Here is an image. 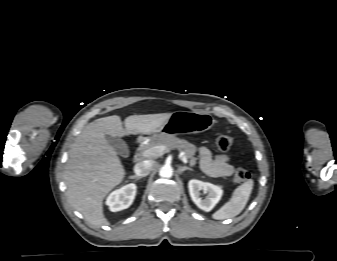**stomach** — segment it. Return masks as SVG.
I'll return each mask as SVG.
<instances>
[{
	"instance_id": "0dacf381",
	"label": "stomach",
	"mask_w": 337,
	"mask_h": 261,
	"mask_svg": "<svg viewBox=\"0 0 337 261\" xmlns=\"http://www.w3.org/2000/svg\"><path fill=\"white\" fill-rule=\"evenodd\" d=\"M214 125L213 117L208 113L195 111H176L170 118L146 138L188 135L205 132Z\"/></svg>"
}]
</instances>
